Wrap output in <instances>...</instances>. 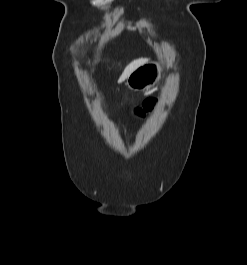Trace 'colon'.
I'll use <instances>...</instances> for the list:
<instances>
[{"label":"colon","mask_w":247,"mask_h":265,"mask_svg":"<svg viewBox=\"0 0 247 265\" xmlns=\"http://www.w3.org/2000/svg\"><path fill=\"white\" fill-rule=\"evenodd\" d=\"M156 104V100L149 98L145 100L141 107L135 109V113L138 116H144L147 112L151 111Z\"/></svg>","instance_id":"1"}]
</instances>
